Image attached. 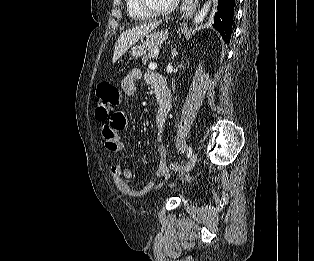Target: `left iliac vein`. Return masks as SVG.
<instances>
[{
	"label": "left iliac vein",
	"mask_w": 314,
	"mask_h": 261,
	"mask_svg": "<svg viewBox=\"0 0 314 261\" xmlns=\"http://www.w3.org/2000/svg\"><path fill=\"white\" fill-rule=\"evenodd\" d=\"M196 162H197V154L191 155L190 159L188 160L185 166L184 174L191 171V169L195 166Z\"/></svg>",
	"instance_id": "obj_1"
}]
</instances>
